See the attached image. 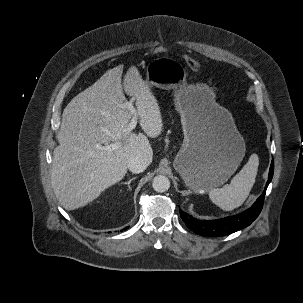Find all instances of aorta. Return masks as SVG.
I'll use <instances>...</instances> for the list:
<instances>
[{
	"label": "aorta",
	"instance_id": "aorta-1",
	"mask_svg": "<svg viewBox=\"0 0 303 303\" xmlns=\"http://www.w3.org/2000/svg\"><path fill=\"white\" fill-rule=\"evenodd\" d=\"M153 189L157 192H165L170 188V181L166 176L158 175L152 181Z\"/></svg>",
	"mask_w": 303,
	"mask_h": 303
}]
</instances>
